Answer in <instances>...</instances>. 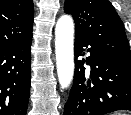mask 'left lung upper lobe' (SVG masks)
I'll list each match as a JSON object with an SVG mask.
<instances>
[{
    "mask_svg": "<svg viewBox=\"0 0 131 115\" xmlns=\"http://www.w3.org/2000/svg\"><path fill=\"white\" fill-rule=\"evenodd\" d=\"M64 11L75 21V34L89 39L108 58L131 69L124 25L108 0H65Z\"/></svg>",
    "mask_w": 131,
    "mask_h": 115,
    "instance_id": "1",
    "label": "left lung upper lobe"
}]
</instances>
